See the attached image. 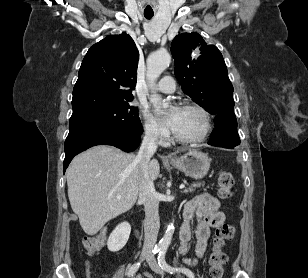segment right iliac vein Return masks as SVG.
Returning <instances> with one entry per match:
<instances>
[{
	"label": "right iliac vein",
	"mask_w": 308,
	"mask_h": 278,
	"mask_svg": "<svg viewBox=\"0 0 308 278\" xmlns=\"http://www.w3.org/2000/svg\"><path fill=\"white\" fill-rule=\"evenodd\" d=\"M148 256V252L147 251H143L142 253H141V256H140V259H144L145 257H147Z\"/></svg>",
	"instance_id": "obj_1"
}]
</instances>
